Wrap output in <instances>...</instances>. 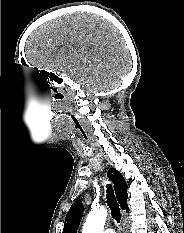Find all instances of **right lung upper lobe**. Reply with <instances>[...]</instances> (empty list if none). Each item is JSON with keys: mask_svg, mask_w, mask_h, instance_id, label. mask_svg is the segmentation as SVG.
<instances>
[{"mask_svg": "<svg viewBox=\"0 0 184 233\" xmlns=\"http://www.w3.org/2000/svg\"><path fill=\"white\" fill-rule=\"evenodd\" d=\"M108 177L114 184L116 196L121 208L129 211L127 205V184L124 177L114 168L109 169ZM84 212V206L80 200L75 201L69 209L65 222L63 233H77L80 221Z\"/></svg>", "mask_w": 184, "mask_h": 233, "instance_id": "right-lung-upper-lobe-1", "label": "right lung upper lobe"}]
</instances>
